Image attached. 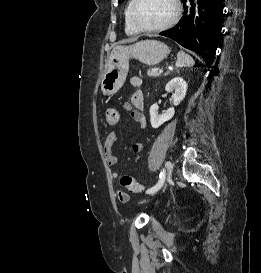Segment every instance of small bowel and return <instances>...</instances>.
Instances as JSON below:
<instances>
[{"mask_svg":"<svg viewBox=\"0 0 261 273\" xmlns=\"http://www.w3.org/2000/svg\"><path fill=\"white\" fill-rule=\"evenodd\" d=\"M130 82L135 87H140L143 83L140 77H132ZM123 108L125 111L130 113L132 119L137 122L141 127H144L146 125V118L143 112L144 95L142 91H136L132 95L131 101L125 103ZM116 140L117 134L115 132H111L108 134L104 144V154L107 164L112 168L111 177L114 179H117L119 177V171L115 168L118 160L113 150V145ZM131 150L134 153H139L143 150V144L140 141H135L131 144ZM117 197L119 201L123 203L129 200L128 194L124 191H118Z\"/></svg>","mask_w":261,"mask_h":273,"instance_id":"small-bowel-1","label":"small bowel"}]
</instances>
